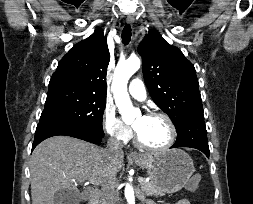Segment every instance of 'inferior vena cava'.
I'll return each instance as SVG.
<instances>
[{
  "label": "inferior vena cava",
  "mask_w": 253,
  "mask_h": 204,
  "mask_svg": "<svg viewBox=\"0 0 253 204\" xmlns=\"http://www.w3.org/2000/svg\"><path fill=\"white\" fill-rule=\"evenodd\" d=\"M107 150L111 155L122 153L123 145L121 141L115 137H110L107 142ZM116 175L112 174L109 180L103 184L102 197L103 204H117L119 195L116 191Z\"/></svg>",
  "instance_id": "602c4592"
}]
</instances>
